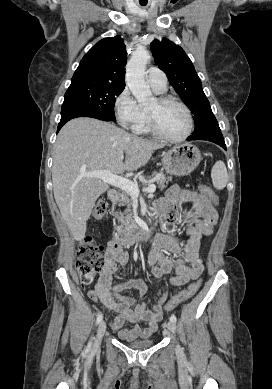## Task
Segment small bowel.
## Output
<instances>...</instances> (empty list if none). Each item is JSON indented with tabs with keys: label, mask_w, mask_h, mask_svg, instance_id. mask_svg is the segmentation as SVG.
Returning a JSON list of instances; mask_svg holds the SVG:
<instances>
[{
	"label": "small bowel",
	"mask_w": 272,
	"mask_h": 389,
	"mask_svg": "<svg viewBox=\"0 0 272 389\" xmlns=\"http://www.w3.org/2000/svg\"><path fill=\"white\" fill-rule=\"evenodd\" d=\"M182 205H187L183 211L179 209ZM155 210L162 215L171 232L184 220L187 239L181 243L174 233L156 236L148 257L152 274L157 279L168 278L169 283L174 286L186 285L198 278L204 270L199 251L202 238L214 231L217 223L216 210L205 195L178 185H172L166 196L155 203ZM162 249L177 258L164 256ZM127 262L128 254L121 245L110 241L106 248L105 263L94 287L88 291V296L116 313L110 320L111 329L117 331L121 339L132 341L149 338L157 330L158 322L168 311L163 306L167 292L161 293L151 309L146 303H138L133 298L121 296L119 292L124 289H137L141 294L146 292V285L140 280L125 283H116L113 280L118 265H125ZM127 322L132 326L125 327ZM140 322L146 325L141 327Z\"/></svg>",
	"instance_id": "1"
}]
</instances>
